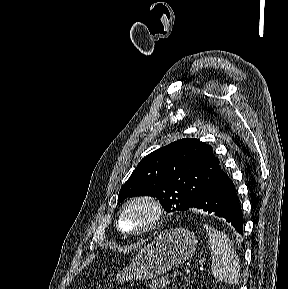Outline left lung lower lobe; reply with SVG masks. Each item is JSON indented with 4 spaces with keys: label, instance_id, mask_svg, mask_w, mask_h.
Segmentation results:
<instances>
[{
    "label": "left lung lower lobe",
    "instance_id": "0a47b994",
    "mask_svg": "<svg viewBox=\"0 0 288 289\" xmlns=\"http://www.w3.org/2000/svg\"><path fill=\"white\" fill-rule=\"evenodd\" d=\"M191 208L203 209L225 218L238 233H243L240 201L233 182L223 171L195 198L188 209Z\"/></svg>",
    "mask_w": 288,
    "mask_h": 289
}]
</instances>
